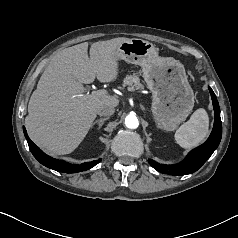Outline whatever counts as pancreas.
<instances>
[{
  "instance_id": "cf45deb5",
  "label": "pancreas",
  "mask_w": 238,
  "mask_h": 238,
  "mask_svg": "<svg viewBox=\"0 0 238 238\" xmlns=\"http://www.w3.org/2000/svg\"><path fill=\"white\" fill-rule=\"evenodd\" d=\"M123 86H128L132 90L143 89L139 77L135 74L126 76L123 80Z\"/></svg>"
}]
</instances>
